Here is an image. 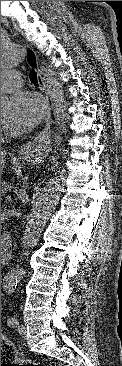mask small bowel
Returning a JSON list of instances; mask_svg holds the SVG:
<instances>
[{"label": "small bowel", "mask_w": 122, "mask_h": 366, "mask_svg": "<svg viewBox=\"0 0 122 366\" xmlns=\"http://www.w3.org/2000/svg\"><path fill=\"white\" fill-rule=\"evenodd\" d=\"M14 278H16V276L14 274H9L5 278V285L10 284L11 282H13Z\"/></svg>", "instance_id": "obj_1"}]
</instances>
